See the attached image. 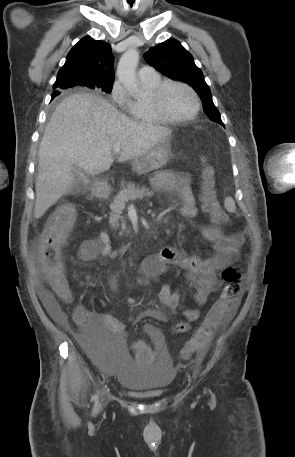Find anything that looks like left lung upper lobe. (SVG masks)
<instances>
[{
  "label": "left lung upper lobe",
  "instance_id": "1",
  "mask_svg": "<svg viewBox=\"0 0 295 457\" xmlns=\"http://www.w3.org/2000/svg\"><path fill=\"white\" fill-rule=\"evenodd\" d=\"M146 61L166 77L190 85L199 95L204 112L217 123L224 126L220 113L215 107L209 86L202 71L195 65L193 56L176 39L152 47L144 54Z\"/></svg>",
  "mask_w": 295,
  "mask_h": 457
}]
</instances>
